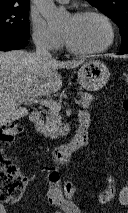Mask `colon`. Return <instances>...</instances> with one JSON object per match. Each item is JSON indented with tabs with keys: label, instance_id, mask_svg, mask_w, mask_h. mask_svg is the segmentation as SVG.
Instances as JSON below:
<instances>
[{
	"label": "colon",
	"instance_id": "1",
	"mask_svg": "<svg viewBox=\"0 0 128 213\" xmlns=\"http://www.w3.org/2000/svg\"><path fill=\"white\" fill-rule=\"evenodd\" d=\"M125 82L128 83V71L124 73ZM123 108L128 111V97L123 101ZM23 131V127L16 123H9L0 128V203H15L24 194L26 177L10 163L3 154V148L10 145L16 136ZM76 187L67 183L64 187V197L67 203H73ZM115 196V185L112 177H108L106 188L99 194V202L108 203ZM122 204L128 205V180L119 194Z\"/></svg>",
	"mask_w": 128,
	"mask_h": 213
}]
</instances>
